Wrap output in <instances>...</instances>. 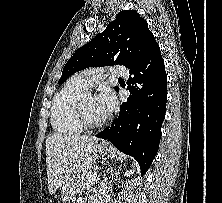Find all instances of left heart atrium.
Masks as SVG:
<instances>
[{
    "label": "left heart atrium",
    "instance_id": "obj_1",
    "mask_svg": "<svg viewBox=\"0 0 222 203\" xmlns=\"http://www.w3.org/2000/svg\"><path fill=\"white\" fill-rule=\"evenodd\" d=\"M96 99L104 113L109 114L114 109L115 97L112 91H110L109 89H103L96 96Z\"/></svg>",
    "mask_w": 222,
    "mask_h": 203
}]
</instances>
